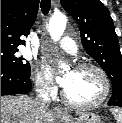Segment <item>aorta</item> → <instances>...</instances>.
<instances>
[{
  "mask_svg": "<svg viewBox=\"0 0 122 123\" xmlns=\"http://www.w3.org/2000/svg\"><path fill=\"white\" fill-rule=\"evenodd\" d=\"M66 23L67 18L64 14H54L50 18L48 31L54 41H57L61 38L64 33Z\"/></svg>",
  "mask_w": 122,
  "mask_h": 123,
  "instance_id": "1",
  "label": "aorta"
}]
</instances>
